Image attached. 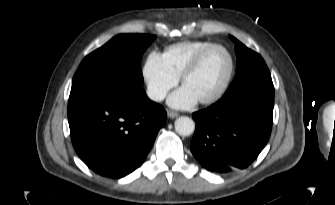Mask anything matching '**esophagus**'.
<instances>
[{
    "label": "esophagus",
    "instance_id": "esophagus-1",
    "mask_svg": "<svg viewBox=\"0 0 335 205\" xmlns=\"http://www.w3.org/2000/svg\"><path fill=\"white\" fill-rule=\"evenodd\" d=\"M167 116H168L169 118H172V119H173V118L178 117L179 114H178L177 112L168 110V111H167Z\"/></svg>",
    "mask_w": 335,
    "mask_h": 205
}]
</instances>
